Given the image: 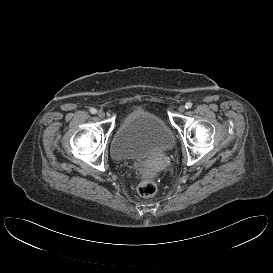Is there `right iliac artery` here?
I'll use <instances>...</instances> for the list:
<instances>
[{
    "label": "right iliac artery",
    "mask_w": 273,
    "mask_h": 273,
    "mask_svg": "<svg viewBox=\"0 0 273 273\" xmlns=\"http://www.w3.org/2000/svg\"><path fill=\"white\" fill-rule=\"evenodd\" d=\"M90 112H91L92 114H96V113H97V110H96L95 108H91V109H90Z\"/></svg>",
    "instance_id": "1"
}]
</instances>
